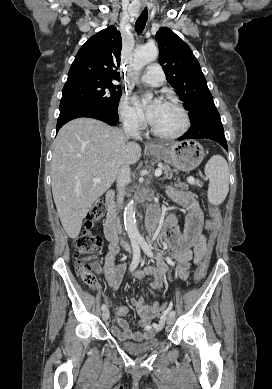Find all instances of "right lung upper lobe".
I'll return each instance as SVG.
<instances>
[{
  "instance_id": "right-lung-upper-lobe-1",
  "label": "right lung upper lobe",
  "mask_w": 272,
  "mask_h": 389,
  "mask_svg": "<svg viewBox=\"0 0 272 389\" xmlns=\"http://www.w3.org/2000/svg\"><path fill=\"white\" fill-rule=\"evenodd\" d=\"M122 39L116 27L108 28L90 37L78 51L65 84L85 80H120Z\"/></svg>"
}]
</instances>
